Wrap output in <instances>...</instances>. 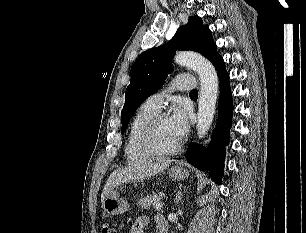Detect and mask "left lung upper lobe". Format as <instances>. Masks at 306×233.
Masks as SVG:
<instances>
[{
  "mask_svg": "<svg viewBox=\"0 0 306 233\" xmlns=\"http://www.w3.org/2000/svg\"><path fill=\"white\" fill-rule=\"evenodd\" d=\"M177 50L199 52L210 62L219 56L209 26L203 25L197 15L189 17L187 25L181 26L168 43L143 52L131 67V81L121 112V133L141 103L156 93L173 71L171 59Z\"/></svg>",
  "mask_w": 306,
  "mask_h": 233,
  "instance_id": "left-lung-upper-lobe-1",
  "label": "left lung upper lobe"
}]
</instances>
